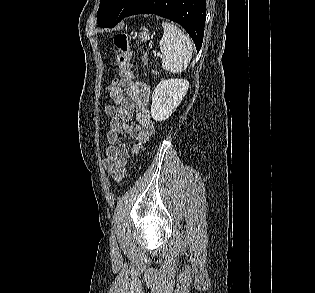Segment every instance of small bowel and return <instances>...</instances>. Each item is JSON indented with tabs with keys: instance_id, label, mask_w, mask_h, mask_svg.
I'll use <instances>...</instances> for the list:
<instances>
[{
	"instance_id": "1",
	"label": "small bowel",
	"mask_w": 315,
	"mask_h": 293,
	"mask_svg": "<svg viewBox=\"0 0 315 293\" xmlns=\"http://www.w3.org/2000/svg\"><path fill=\"white\" fill-rule=\"evenodd\" d=\"M120 79L122 83L117 85L118 91L110 94L114 104L104 108L105 114L111 118L104 165L112 173L123 168L154 132V123L148 110V86L133 79ZM132 118H135V123H129ZM123 138H130L135 144L130 147L122 141Z\"/></svg>"
}]
</instances>
